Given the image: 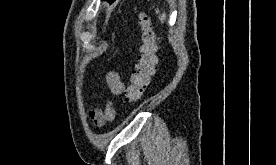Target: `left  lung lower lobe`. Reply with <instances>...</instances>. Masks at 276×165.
Segmentation results:
<instances>
[{"label":"left lung lower lobe","instance_id":"obj_1","mask_svg":"<svg viewBox=\"0 0 276 165\" xmlns=\"http://www.w3.org/2000/svg\"><path fill=\"white\" fill-rule=\"evenodd\" d=\"M113 1H114V0H109V2H111V3H112Z\"/></svg>","mask_w":276,"mask_h":165}]
</instances>
